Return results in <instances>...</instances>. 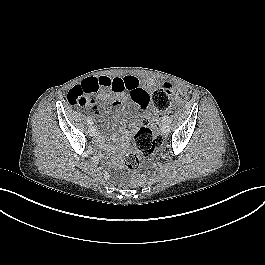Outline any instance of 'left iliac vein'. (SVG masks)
I'll list each match as a JSON object with an SVG mask.
<instances>
[{
    "label": "left iliac vein",
    "mask_w": 265,
    "mask_h": 265,
    "mask_svg": "<svg viewBox=\"0 0 265 265\" xmlns=\"http://www.w3.org/2000/svg\"><path fill=\"white\" fill-rule=\"evenodd\" d=\"M162 133L168 134L169 133V125L167 123H164L161 127Z\"/></svg>",
    "instance_id": "left-iliac-vein-1"
}]
</instances>
